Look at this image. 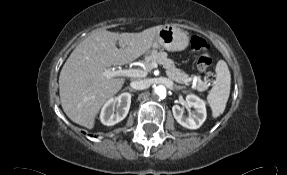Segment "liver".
I'll list each match as a JSON object with an SVG mask.
<instances>
[{"mask_svg": "<svg viewBox=\"0 0 287 175\" xmlns=\"http://www.w3.org/2000/svg\"><path fill=\"white\" fill-rule=\"evenodd\" d=\"M162 25L139 33L91 32L71 53L59 76V92L65 114L92 129L104 103L122 88L125 79L104 75L112 65L128 64L153 45ZM118 41L120 48L116 47Z\"/></svg>", "mask_w": 287, "mask_h": 175, "instance_id": "liver-1", "label": "liver"}]
</instances>
